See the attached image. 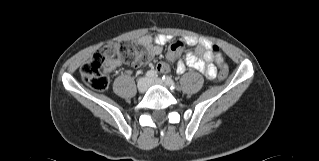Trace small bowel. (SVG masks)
<instances>
[{
  "label": "small bowel",
  "instance_id": "c3829d8e",
  "mask_svg": "<svg viewBox=\"0 0 319 161\" xmlns=\"http://www.w3.org/2000/svg\"><path fill=\"white\" fill-rule=\"evenodd\" d=\"M166 37L161 34L144 36L140 39V44L147 48L150 57L159 55L162 52L160 44L166 42ZM186 43L196 46L194 51L186 54L184 60L177 63V73L183 74L187 67L201 71L208 80H214L217 76V65L220 63L222 56L213 50V45L205 40H198L196 37L188 36L185 38ZM199 56L203 58L200 59ZM171 58V56L169 57ZM120 66L119 61H114L112 68ZM158 70L167 71L169 65L167 62H160Z\"/></svg>",
  "mask_w": 319,
  "mask_h": 161
}]
</instances>
